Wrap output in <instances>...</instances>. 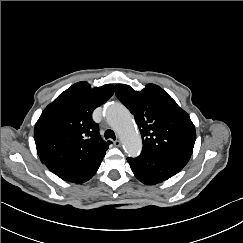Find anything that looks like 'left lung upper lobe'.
Listing matches in <instances>:
<instances>
[{"label":"left lung upper lobe","instance_id":"5c2ea615","mask_svg":"<svg viewBox=\"0 0 243 243\" xmlns=\"http://www.w3.org/2000/svg\"><path fill=\"white\" fill-rule=\"evenodd\" d=\"M116 96L135 117L142 136V153L189 161L196 139L195 126L162 88L148 84L139 92L117 84Z\"/></svg>","mask_w":243,"mask_h":243}]
</instances>
